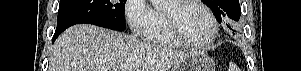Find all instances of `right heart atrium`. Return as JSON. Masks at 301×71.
Wrapping results in <instances>:
<instances>
[{
	"instance_id": "1",
	"label": "right heart atrium",
	"mask_w": 301,
	"mask_h": 71,
	"mask_svg": "<svg viewBox=\"0 0 301 71\" xmlns=\"http://www.w3.org/2000/svg\"><path fill=\"white\" fill-rule=\"evenodd\" d=\"M125 18L135 35H144L152 21L153 9L145 0H128Z\"/></svg>"
}]
</instances>
